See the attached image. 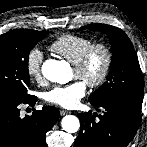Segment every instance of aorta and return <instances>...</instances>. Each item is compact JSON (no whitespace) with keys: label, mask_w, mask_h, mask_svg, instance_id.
Listing matches in <instances>:
<instances>
[{"label":"aorta","mask_w":147,"mask_h":147,"mask_svg":"<svg viewBox=\"0 0 147 147\" xmlns=\"http://www.w3.org/2000/svg\"><path fill=\"white\" fill-rule=\"evenodd\" d=\"M43 76L54 83L65 84L71 80L70 66L66 61L46 60L42 65ZM61 125L64 131L75 133L80 128V121L76 116L63 117Z\"/></svg>","instance_id":"aorta-1"}]
</instances>
